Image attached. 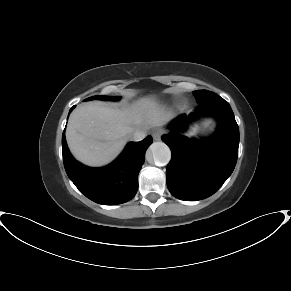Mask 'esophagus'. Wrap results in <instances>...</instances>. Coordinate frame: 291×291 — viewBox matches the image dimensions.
I'll return each instance as SVG.
<instances>
[{"mask_svg": "<svg viewBox=\"0 0 291 291\" xmlns=\"http://www.w3.org/2000/svg\"><path fill=\"white\" fill-rule=\"evenodd\" d=\"M161 135H162V131L159 130V129H154V130L152 131V137H153V139L156 140V141L160 140Z\"/></svg>", "mask_w": 291, "mask_h": 291, "instance_id": "1", "label": "esophagus"}]
</instances>
